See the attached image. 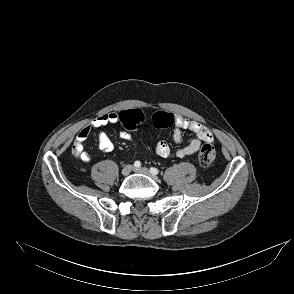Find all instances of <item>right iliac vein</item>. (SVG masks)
<instances>
[{"mask_svg":"<svg viewBox=\"0 0 294 294\" xmlns=\"http://www.w3.org/2000/svg\"><path fill=\"white\" fill-rule=\"evenodd\" d=\"M132 169H133V166L132 165H126L122 169L121 173H122L123 176H128L131 173Z\"/></svg>","mask_w":294,"mask_h":294,"instance_id":"obj_1","label":"right iliac vein"}]
</instances>
